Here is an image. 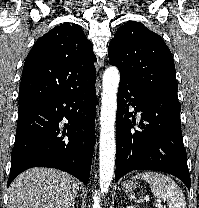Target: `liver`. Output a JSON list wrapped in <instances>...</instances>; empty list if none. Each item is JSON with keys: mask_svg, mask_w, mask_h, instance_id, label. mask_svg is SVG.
I'll list each match as a JSON object with an SVG mask.
<instances>
[{"mask_svg": "<svg viewBox=\"0 0 199 208\" xmlns=\"http://www.w3.org/2000/svg\"><path fill=\"white\" fill-rule=\"evenodd\" d=\"M80 189L72 175L52 168L22 172L9 188V208H70Z\"/></svg>", "mask_w": 199, "mask_h": 208, "instance_id": "1", "label": "liver"}]
</instances>
